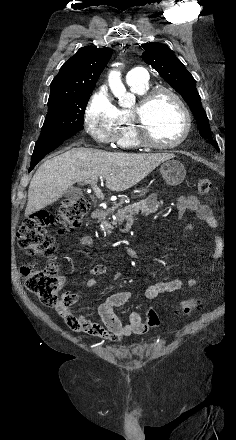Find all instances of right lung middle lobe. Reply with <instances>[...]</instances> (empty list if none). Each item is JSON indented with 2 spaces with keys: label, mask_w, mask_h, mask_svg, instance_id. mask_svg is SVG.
I'll return each instance as SVG.
<instances>
[{
  "label": "right lung middle lobe",
  "mask_w": 236,
  "mask_h": 440,
  "mask_svg": "<svg viewBox=\"0 0 236 440\" xmlns=\"http://www.w3.org/2000/svg\"><path fill=\"white\" fill-rule=\"evenodd\" d=\"M90 94L48 103V113L38 141L71 137L83 129V116Z\"/></svg>",
  "instance_id": "right-lung-middle-lobe-1"
}]
</instances>
